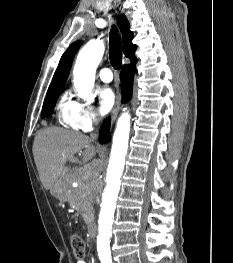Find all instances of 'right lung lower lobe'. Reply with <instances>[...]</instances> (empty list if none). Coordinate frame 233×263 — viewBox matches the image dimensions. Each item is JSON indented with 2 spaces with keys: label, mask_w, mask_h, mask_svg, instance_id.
Instances as JSON below:
<instances>
[{
  "label": "right lung lower lobe",
  "mask_w": 233,
  "mask_h": 263,
  "mask_svg": "<svg viewBox=\"0 0 233 263\" xmlns=\"http://www.w3.org/2000/svg\"><path fill=\"white\" fill-rule=\"evenodd\" d=\"M137 60L133 61L130 65H124L121 69L120 78L122 82V96L123 101H127L130 99L132 95V86H133V78H134V66ZM110 129V118H107L100 130L99 140L101 143L106 142L107 134Z\"/></svg>",
  "instance_id": "right-lung-lower-lobe-1"
}]
</instances>
